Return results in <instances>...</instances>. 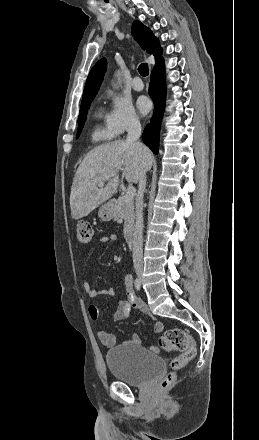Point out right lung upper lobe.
I'll use <instances>...</instances> for the list:
<instances>
[{"instance_id": "right-lung-upper-lobe-1", "label": "right lung upper lobe", "mask_w": 259, "mask_h": 440, "mask_svg": "<svg viewBox=\"0 0 259 440\" xmlns=\"http://www.w3.org/2000/svg\"><path fill=\"white\" fill-rule=\"evenodd\" d=\"M132 34L144 50L155 56L156 64L163 59L162 48L159 45V41L154 37L148 27L143 25L140 21H134L132 25ZM106 68L107 61L105 58H102L91 69L84 88L82 101L91 98L94 99L103 81Z\"/></svg>"}]
</instances>
